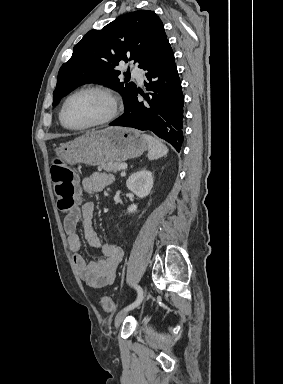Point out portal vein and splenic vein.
Returning a JSON list of instances; mask_svg holds the SVG:
<instances>
[{"mask_svg": "<svg viewBox=\"0 0 283 384\" xmlns=\"http://www.w3.org/2000/svg\"><path fill=\"white\" fill-rule=\"evenodd\" d=\"M120 168H121V170H126L127 164H120Z\"/></svg>", "mask_w": 283, "mask_h": 384, "instance_id": "portal-vein-and-splenic-vein-1", "label": "portal vein and splenic vein"}]
</instances>
